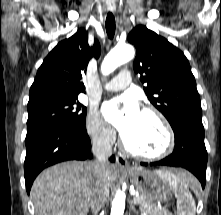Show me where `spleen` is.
<instances>
[{
	"mask_svg": "<svg viewBox=\"0 0 221 215\" xmlns=\"http://www.w3.org/2000/svg\"><path fill=\"white\" fill-rule=\"evenodd\" d=\"M172 189L177 198L178 215H195L196 205L189 191L195 189L197 181L190 173L179 171L176 173L157 171Z\"/></svg>",
	"mask_w": 221,
	"mask_h": 215,
	"instance_id": "spleen-1",
	"label": "spleen"
}]
</instances>
